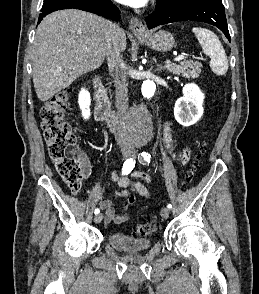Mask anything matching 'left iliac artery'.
Masks as SVG:
<instances>
[{"instance_id":"obj_1","label":"left iliac artery","mask_w":259,"mask_h":294,"mask_svg":"<svg viewBox=\"0 0 259 294\" xmlns=\"http://www.w3.org/2000/svg\"><path fill=\"white\" fill-rule=\"evenodd\" d=\"M150 157H151V155L150 154H148L147 152H142L141 153V157H140V162H143V161H146V162H150ZM167 208L168 209H171L172 208V205L171 204H168L167 205Z\"/></svg>"}]
</instances>
